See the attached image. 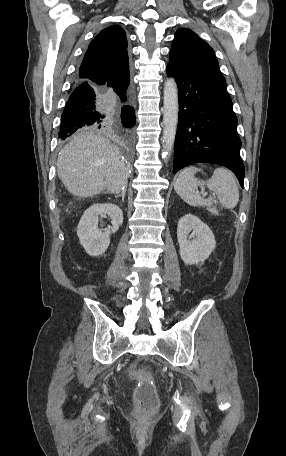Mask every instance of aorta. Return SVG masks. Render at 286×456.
<instances>
[{
    "label": "aorta",
    "instance_id": "1",
    "mask_svg": "<svg viewBox=\"0 0 286 456\" xmlns=\"http://www.w3.org/2000/svg\"><path fill=\"white\" fill-rule=\"evenodd\" d=\"M163 95V157L168 159L175 141L179 112L178 88L174 78L165 81Z\"/></svg>",
    "mask_w": 286,
    "mask_h": 456
}]
</instances>
